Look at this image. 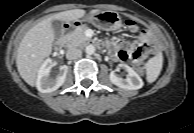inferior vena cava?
I'll use <instances>...</instances> for the list:
<instances>
[{
	"label": "inferior vena cava",
	"instance_id": "obj_1",
	"mask_svg": "<svg viewBox=\"0 0 194 133\" xmlns=\"http://www.w3.org/2000/svg\"><path fill=\"white\" fill-rule=\"evenodd\" d=\"M82 55V51L78 48H69L66 52V58L69 60L78 59Z\"/></svg>",
	"mask_w": 194,
	"mask_h": 133
}]
</instances>
